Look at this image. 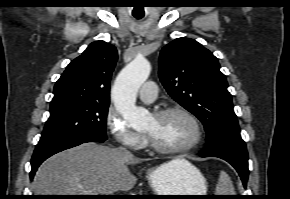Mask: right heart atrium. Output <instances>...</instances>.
<instances>
[{
    "label": "right heart atrium",
    "instance_id": "d8ad5b80",
    "mask_svg": "<svg viewBox=\"0 0 290 199\" xmlns=\"http://www.w3.org/2000/svg\"><path fill=\"white\" fill-rule=\"evenodd\" d=\"M106 124L115 140L122 146L132 150H137L144 146L145 136L132 129L127 120L115 109L108 110Z\"/></svg>",
    "mask_w": 290,
    "mask_h": 199
}]
</instances>
